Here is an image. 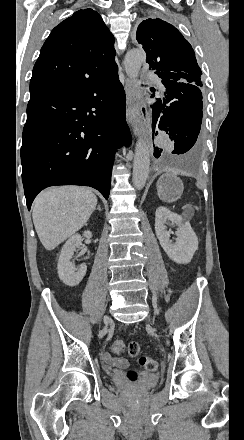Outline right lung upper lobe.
Here are the masks:
<instances>
[{
	"label": "right lung upper lobe",
	"mask_w": 244,
	"mask_h": 440,
	"mask_svg": "<svg viewBox=\"0 0 244 440\" xmlns=\"http://www.w3.org/2000/svg\"><path fill=\"white\" fill-rule=\"evenodd\" d=\"M114 37L101 16L88 8L56 26L33 68L30 94L72 87L117 69Z\"/></svg>",
	"instance_id": "1"
}]
</instances>
